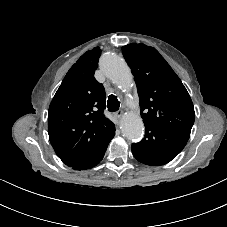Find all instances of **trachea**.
<instances>
[{
	"instance_id": "obj_1",
	"label": "trachea",
	"mask_w": 227,
	"mask_h": 227,
	"mask_svg": "<svg viewBox=\"0 0 227 227\" xmlns=\"http://www.w3.org/2000/svg\"><path fill=\"white\" fill-rule=\"evenodd\" d=\"M107 107L110 112H115L120 107V102L118 101L117 97L114 95H110L107 101Z\"/></svg>"
}]
</instances>
